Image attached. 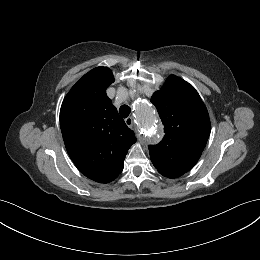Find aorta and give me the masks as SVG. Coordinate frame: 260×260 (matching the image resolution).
<instances>
[{
	"label": "aorta",
	"mask_w": 260,
	"mask_h": 260,
	"mask_svg": "<svg viewBox=\"0 0 260 260\" xmlns=\"http://www.w3.org/2000/svg\"><path fill=\"white\" fill-rule=\"evenodd\" d=\"M136 114L140 125V131L142 135L149 142H155L157 140V127L155 124V111L146 102H140L136 106Z\"/></svg>",
	"instance_id": "aorta-1"
}]
</instances>
